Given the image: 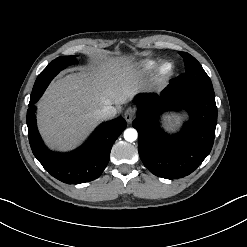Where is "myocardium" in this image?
Instances as JSON below:
<instances>
[{
  "label": "myocardium",
  "mask_w": 247,
  "mask_h": 247,
  "mask_svg": "<svg viewBox=\"0 0 247 247\" xmlns=\"http://www.w3.org/2000/svg\"><path fill=\"white\" fill-rule=\"evenodd\" d=\"M175 73V65L172 61L169 60H165L162 61L156 70V77L159 80H167L169 78H171Z\"/></svg>",
  "instance_id": "f54148a6"
}]
</instances>
